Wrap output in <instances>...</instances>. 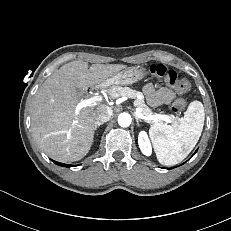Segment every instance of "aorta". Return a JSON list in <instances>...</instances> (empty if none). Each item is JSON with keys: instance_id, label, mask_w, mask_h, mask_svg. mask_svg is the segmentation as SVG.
Returning a JSON list of instances; mask_svg holds the SVG:
<instances>
[{"instance_id": "1", "label": "aorta", "mask_w": 231, "mask_h": 231, "mask_svg": "<svg viewBox=\"0 0 231 231\" xmlns=\"http://www.w3.org/2000/svg\"><path fill=\"white\" fill-rule=\"evenodd\" d=\"M118 124L121 127H128L131 124V116L128 113H121L118 116Z\"/></svg>"}]
</instances>
